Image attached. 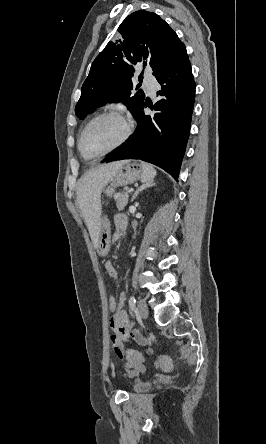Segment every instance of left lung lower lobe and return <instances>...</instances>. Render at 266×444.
Wrapping results in <instances>:
<instances>
[{
    "mask_svg": "<svg viewBox=\"0 0 266 444\" xmlns=\"http://www.w3.org/2000/svg\"><path fill=\"white\" fill-rule=\"evenodd\" d=\"M161 85L154 116H146V102L135 115L138 126L133 137L102 162L141 159L170 173L176 180L190 133L195 101V82L185 52L164 73L156 77Z\"/></svg>",
    "mask_w": 266,
    "mask_h": 444,
    "instance_id": "1",
    "label": "left lung lower lobe"
}]
</instances>
